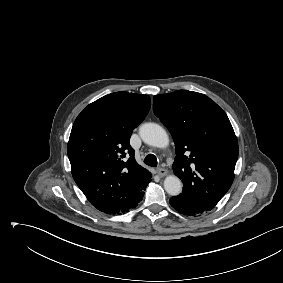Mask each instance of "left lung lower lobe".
Wrapping results in <instances>:
<instances>
[{
  "mask_svg": "<svg viewBox=\"0 0 283 283\" xmlns=\"http://www.w3.org/2000/svg\"><path fill=\"white\" fill-rule=\"evenodd\" d=\"M170 205L179 213L187 216L199 215L212 210L184 193L173 196L170 199Z\"/></svg>",
  "mask_w": 283,
  "mask_h": 283,
  "instance_id": "obj_1",
  "label": "left lung lower lobe"
}]
</instances>
